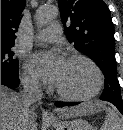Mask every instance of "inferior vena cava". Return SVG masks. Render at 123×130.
Segmentation results:
<instances>
[{"label":"inferior vena cava","mask_w":123,"mask_h":130,"mask_svg":"<svg viewBox=\"0 0 123 130\" xmlns=\"http://www.w3.org/2000/svg\"><path fill=\"white\" fill-rule=\"evenodd\" d=\"M23 93L22 99L24 102L23 115H22V128L20 130H30L29 128V113L30 107L42 99V89L39 82L34 80H23Z\"/></svg>","instance_id":"obj_1"}]
</instances>
